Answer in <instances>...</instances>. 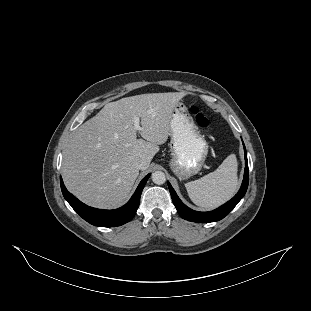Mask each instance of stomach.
I'll return each mask as SVG.
<instances>
[{
    "label": "stomach",
    "mask_w": 311,
    "mask_h": 311,
    "mask_svg": "<svg viewBox=\"0 0 311 311\" xmlns=\"http://www.w3.org/2000/svg\"><path fill=\"white\" fill-rule=\"evenodd\" d=\"M170 168L180 180L196 175L203 167L209 146L183 102H178L170 121Z\"/></svg>",
    "instance_id": "0dacf381"
}]
</instances>
